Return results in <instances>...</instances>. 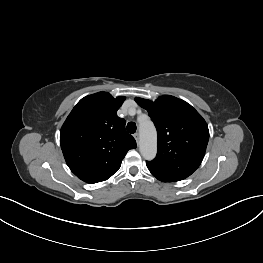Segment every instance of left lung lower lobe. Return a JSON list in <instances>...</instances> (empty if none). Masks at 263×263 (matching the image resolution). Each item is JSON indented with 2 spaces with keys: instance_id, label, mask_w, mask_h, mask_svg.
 Wrapping results in <instances>:
<instances>
[{
  "instance_id": "1",
  "label": "left lung lower lobe",
  "mask_w": 263,
  "mask_h": 263,
  "mask_svg": "<svg viewBox=\"0 0 263 263\" xmlns=\"http://www.w3.org/2000/svg\"><path fill=\"white\" fill-rule=\"evenodd\" d=\"M155 176V175H154ZM158 180H160V181H163V182H171L170 180H166V179H164V178H161V177H159V176H155Z\"/></svg>"
}]
</instances>
